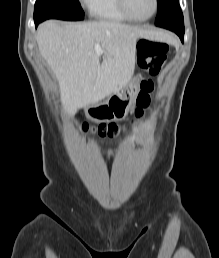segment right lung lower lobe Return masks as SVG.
I'll return each instance as SVG.
<instances>
[{"instance_id": "98d812e1", "label": "right lung lower lobe", "mask_w": 219, "mask_h": 258, "mask_svg": "<svg viewBox=\"0 0 219 258\" xmlns=\"http://www.w3.org/2000/svg\"><path fill=\"white\" fill-rule=\"evenodd\" d=\"M83 19H84V17H82V18L70 17L69 19H62V20L78 21V20H83ZM39 23H41V22H35V26L37 27Z\"/></svg>"}]
</instances>
